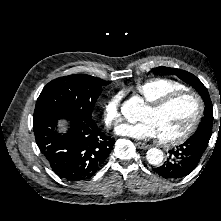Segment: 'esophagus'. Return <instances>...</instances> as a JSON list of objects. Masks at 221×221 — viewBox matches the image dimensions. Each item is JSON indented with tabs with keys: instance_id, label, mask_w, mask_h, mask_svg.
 <instances>
[{
	"instance_id": "34e87169",
	"label": "esophagus",
	"mask_w": 221,
	"mask_h": 221,
	"mask_svg": "<svg viewBox=\"0 0 221 221\" xmlns=\"http://www.w3.org/2000/svg\"><path fill=\"white\" fill-rule=\"evenodd\" d=\"M136 145L140 149H148L149 148V145L142 143V142H137Z\"/></svg>"
}]
</instances>
